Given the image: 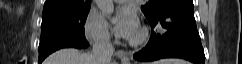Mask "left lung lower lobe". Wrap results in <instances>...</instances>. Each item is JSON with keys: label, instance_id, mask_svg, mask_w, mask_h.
<instances>
[{"label": "left lung lower lobe", "instance_id": "left-lung-lower-lobe-1", "mask_svg": "<svg viewBox=\"0 0 242 64\" xmlns=\"http://www.w3.org/2000/svg\"><path fill=\"white\" fill-rule=\"evenodd\" d=\"M152 29L162 26L163 34L152 30L148 44L134 54L137 62L182 58L204 64L205 55L194 18L193 0H181L163 8L148 20Z\"/></svg>", "mask_w": 242, "mask_h": 64}]
</instances>
